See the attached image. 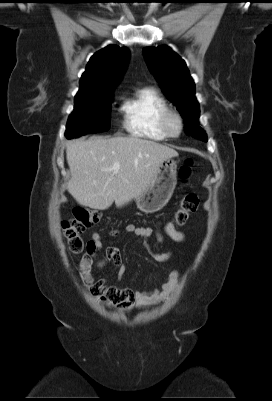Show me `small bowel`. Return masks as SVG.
<instances>
[{
	"mask_svg": "<svg viewBox=\"0 0 272 401\" xmlns=\"http://www.w3.org/2000/svg\"><path fill=\"white\" fill-rule=\"evenodd\" d=\"M120 230L115 229L110 231L111 236H118ZM124 232L132 234L144 241V245L148 252L158 260H168L171 254H159L155 252L147 243V239L155 235L159 242H163L165 236L176 242H182L184 235L177 230L172 223H166L162 230H153L150 227L137 226L128 224L124 228ZM104 247L103 240L98 233H93L92 238L86 244V252L80 262V268L83 274L95 282V291L107 293L117 303L119 310L126 311L130 307L145 308L150 305L165 301L175 290L179 284L180 275L178 271L170 272L163 280L162 286L159 289L151 291L118 289L113 286H108L105 279H95L94 272L101 268L105 263L110 262L117 268V278L121 279L126 271V267L122 262L118 249L109 247L105 251V256L102 260L96 261L97 253Z\"/></svg>",
	"mask_w": 272,
	"mask_h": 401,
	"instance_id": "1",
	"label": "small bowel"
}]
</instances>
